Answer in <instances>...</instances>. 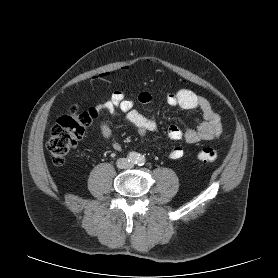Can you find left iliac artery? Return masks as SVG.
Instances as JSON below:
<instances>
[{
	"label": "left iliac artery",
	"mask_w": 278,
	"mask_h": 278,
	"mask_svg": "<svg viewBox=\"0 0 278 278\" xmlns=\"http://www.w3.org/2000/svg\"><path fill=\"white\" fill-rule=\"evenodd\" d=\"M137 164L139 166H143L145 164V158L144 156H139L138 160H137Z\"/></svg>",
	"instance_id": "left-iliac-artery-1"
}]
</instances>
